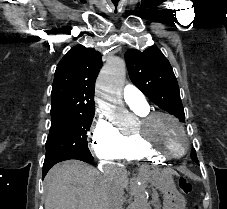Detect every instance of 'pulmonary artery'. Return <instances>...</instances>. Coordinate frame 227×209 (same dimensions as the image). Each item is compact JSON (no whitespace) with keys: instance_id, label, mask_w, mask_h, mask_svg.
<instances>
[{"instance_id":"obj_1","label":"pulmonary artery","mask_w":227,"mask_h":209,"mask_svg":"<svg viewBox=\"0 0 227 209\" xmlns=\"http://www.w3.org/2000/svg\"><path fill=\"white\" fill-rule=\"evenodd\" d=\"M123 98L128 105L135 109H144L148 106L145 95H141V89L134 88L133 84H128L124 89Z\"/></svg>"}]
</instances>
